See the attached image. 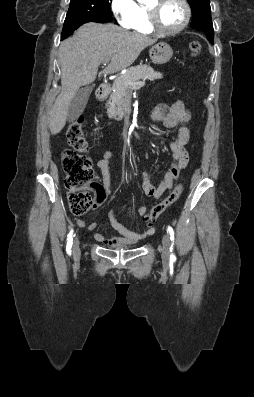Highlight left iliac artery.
Segmentation results:
<instances>
[{
	"mask_svg": "<svg viewBox=\"0 0 254 397\" xmlns=\"http://www.w3.org/2000/svg\"><path fill=\"white\" fill-rule=\"evenodd\" d=\"M168 232L170 234V239L174 242V230L172 229V227L168 226ZM171 250H172V247H170V251ZM170 260H172V261L175 260L174 254L170 255Z\"/></svg>",
	"mask_w": 254,
	"mask_h": 397,
	"instance_id": "1",
	"label": "left iliac artery"
}]
</instances>
